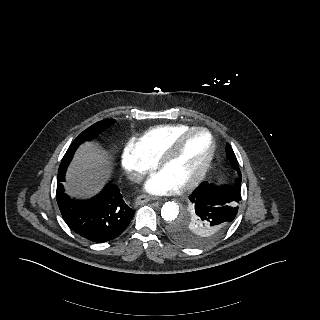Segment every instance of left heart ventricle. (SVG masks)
<instances>
[{"label": "left heart ventricle", "instance_id": "obj_1", "mask_svg": "<svg viewBox=\"0 0 320 320\" xmlns=\"http://www.w3.org/2000/svg\"><path fill=\"white\" fill-rule=\"evenodd\" d=\"M208 150V136L195 134L184 142L177 156L161 170V173L179 186L198 172Z\"/></svg>", "mask_w": 320, "mask_h": 320}]
</instances>
